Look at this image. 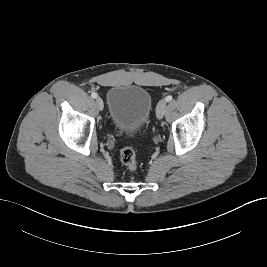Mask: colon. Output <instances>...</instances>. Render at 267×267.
I'll return each instance as SVG.
<instances>
[{"label":"colon","mask_w":267,"mask_h":267,"mask_svg":"<svg viewBox=\"0 0 267 267\" xmlns=\"http://www.w3.org/2000/svg\"><path fill=\"white\" fill-rule=\"evenodd\" d=\"M120 160L130 171L133 172L137 169L136 154L132 148H123L120 152Z\"/></svg>","instance_id":"obj_1"}]
</instances>
